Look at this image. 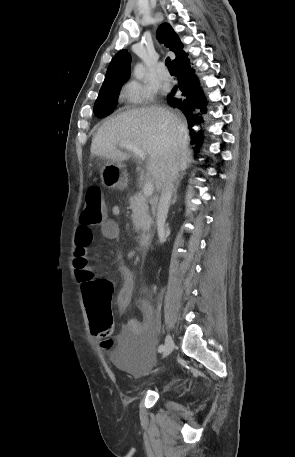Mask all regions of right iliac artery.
Here are the masks:
<instances>
[{
    "mask_svg": "<svg viewBox=\"0 0 295 457\" xmlns=\"http://www.w3.org/2000/svg\"><path fill=\"white\" fill-rule=\"evenodd\" d=\"M164 349V346L163 345H160L159 348H158V352H162Z\"/></svg>",
    "mask_w": 295,
    "mask_h": 457,
    "instance_id": "82829eb1",
    "label": "right iliac artery"
}]
</instances>
